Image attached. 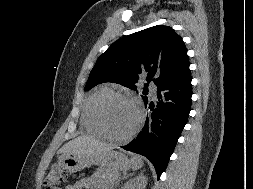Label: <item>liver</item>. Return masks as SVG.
I'll return each mask as SVG.
<instances>
[{"instance_id":"obj_1","label":"liver","mask_w":253,"mask_h":189,"mask_svg":"<svg viewBox=\"0 0 253 189\" xmlns=\"http://www.w3.org/2000/svg\"><path fill=\"white\" fill-rule=\"evenodd\" d=\"M110 150L112 147L109 145L92 136L82 135L64 144L58 153L99 156Z\"/></svg>"}]
</instances>
